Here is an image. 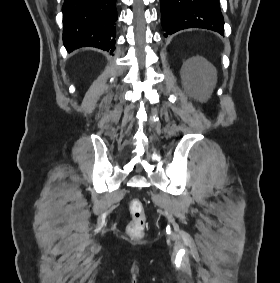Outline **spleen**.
<instances>
[{"label": "spleen", "mask_w": 280, "mask_h": 283, "mask_svg": "<svg viewBox=\"0 0 280 283\" xmlns=\"http://www.w3.org/2000/svg\"><path fill=\"white\" fill-rule=\"evenodd\" d=\"M210 74L206 78L207 87L211 89L216 83V70L210 66Z\"/></svg>", "instance_id": "obj_1"}]
</instances>
